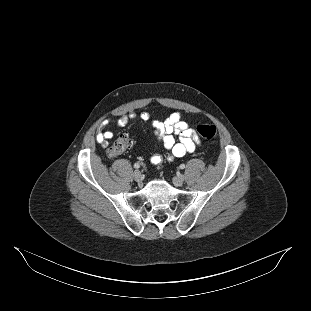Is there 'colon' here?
Instances as JSON below:
<instances>
[{
    "instance_id": "obj_1",
    "label": "colon",
    "mask_w": 311,
    "mask_h": 311,
    "mask_svg": "<svg viewBox=\"0 0 311 311\" xmlns=\"http://www.w3.org/2000/svg\"><path fill=\"white\" fill-rule=\"evenodd\" d=\"M197 131L202 138L210 142H215L217 140V131L212 125H200ZM132 143V139L127 133L121 134L108 148L109 156L117 157L123 154L132 146Z\"/></svg>"
}]
</instances>
